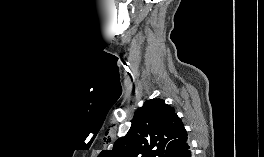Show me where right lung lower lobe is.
<instances>
[{"label":"right lung lower lobe","instance_id":"1","mask_svg":"<svg viewBox=\"0 0 264 157\" xmlns=\"http://www.w3.org/2000/svg\"><path fill=\"white\" fill-rule=\"evenodd\" d=\"M169 157H193L188 142L184 143L180 148L173 152Z\"/></svg>","mask_w":264,"mask_h":157}]
</instances>
